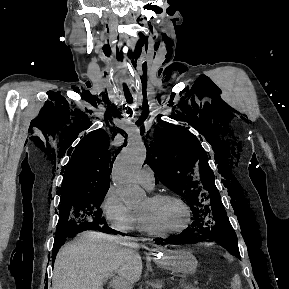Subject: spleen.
Here are the masks:
<instances>
[{
    "label": "spleen",
    "instance_id": "spleen-1",
    "mask_svg": "<svg viewBox=\"0 0 289 289\" xmlns=\"http://www.w3.org/2000/svg\"><path fill=\"white\" fill-rule=\"evenodd\" d=\"M232 289H241V280L239 275H234L232 282H231Z\"/></svg>",
    "mask_w": 289,
    "mask_h": 289
}]
</instances>
